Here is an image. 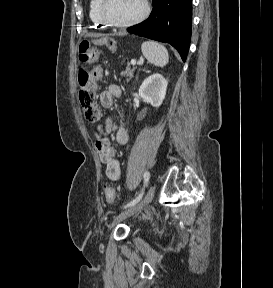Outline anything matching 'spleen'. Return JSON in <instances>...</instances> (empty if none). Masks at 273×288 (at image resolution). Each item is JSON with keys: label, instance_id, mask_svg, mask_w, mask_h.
<instances>
[{"label": "spleen", "instance_id": "spleen-1", "mask_svg": "<svg viewBox=\"0 0 273 288\" xmlns=\"http://www.w3.org/2000/svg\"><path fill=\"white\" fill-rule=\"evenodd\" d=\"M142 53L148 62L158 67H163L168 63V52L166 48L154 41H146L141 45Z\"/></svg>", "mask_w": 273, "mask_h": 288}]
</instances>
